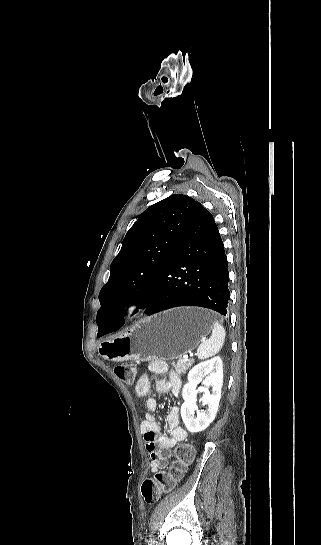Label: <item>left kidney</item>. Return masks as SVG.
<instances>
[{"label":"left kidney","mask_w":321,"mask_h":545,"mask_svg":"<svg viewBox=\"0 0 321 545\" xmlns=\"http://www.w3.org/2000/svg\"><path fill=\"white\" fill-rule=\"evenodd\" d=\"M203 377H207L203 381ZM202 383L205 385L203 391H208L212 387V393H205L200 399V403L207 405L206 411H199L197 417H194L196 411L197 393L196 387ZM223 385V365L220 357H213L210 361L199 363L188 373V383L184 385L182 397L184 399L181 405L182 421L189 433H200L209 427L214 421L221 399V389Z\"/></svg>","instance_id":"left-kidney-1"}]
</instances>
